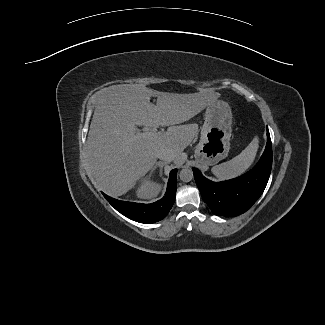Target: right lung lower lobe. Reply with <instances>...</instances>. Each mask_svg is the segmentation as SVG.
Wrapping results in <instances>:
<instances>
[{
	"label": "right lung lower lobe",
	"mask_w": 325,
	"mask_h": 325,
	"mask_svg": "<svg viewBox=\"0 0 325 325\" xmlns=\"http://www.w3.org/2000/svg\"><path fill=\"white\" fill-rule=\"evenodd\" d=\"M176 174L177 169H173L170 172L165 196L151 204L120 201L104 193L103 195L117 211L127 218L140 223H154L162 220L173 206L177 188Z\"/></svg>",
	"instance_id": "1"
}]
</instances>
